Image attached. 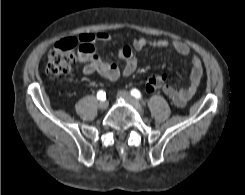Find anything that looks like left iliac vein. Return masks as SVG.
I'll return each mask as SVG.
<instances>
[{"mask_svg":"<svg viewBox=\"0 0 245 195\" xmlns=\"http://www.w3.org/2000/svg\"><path fill=\"white\" fill-rule=\"evenodd\" d=\"M118 96L124 99L125 101H127L128 103H130L132 106H134L140 113H143V110L139 106L138 101L133 96H131L127 91L120 90L118 92Z\"/></svg>","mask_w":245,"mask_h":195,"instance_id":"1","label":"left iliac vein"}]
</instances>
